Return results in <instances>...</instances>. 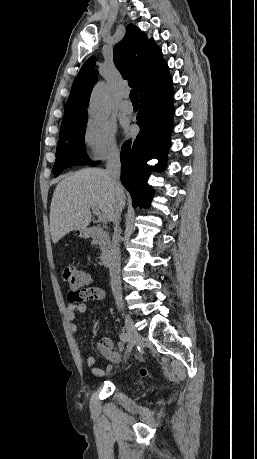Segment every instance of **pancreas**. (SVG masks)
<instances>
[{"label":"pancreas","instance_id":"cf45deb5","mask_svg":"<svg viewBox=\"0 0 257 459\" xmlns=\"http://www.w3.org/2000/svg\"><path fill=\"white\" fill-rule=\"evenodd\" d=\"M94 243L100 244V241L98 239H95Z\"/></svg>","mask_w":257,"mask_h":459}]
</instances>
